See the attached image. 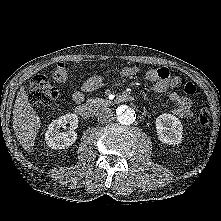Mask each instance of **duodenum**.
Listing matches in <instances>:
<instances>
[{"mask_svg":"<svg viewBox=\"0 0 221 221\" xmlns=\"http://www.w3.org/2000/svg\"><path fill=\"white\" fill-rule=\"evenodd\" d=\"M134 96L131 94H120L116 98V102H129L133 101ZM100 105V103L95 104H82L76 107V113L83 118H91L93 116L95 107Z\"/></svg>","mask_w":221,"mask_h":221,"instance_id":"duodenum-1","label":"duodenum"}]
</instances>
